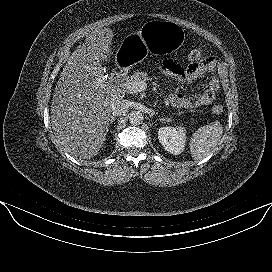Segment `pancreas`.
Wrapping results in <instances>:
<instances>
[{"label": "pancreas", "mask_w": 272, "mask_h": 272, "mask_svg": "<svg viewBox=\"0 0 272 272\" xmlns=\"http://www.w3.org/2000/svg\"><path fill=\"white\" fill-rule=\"evenodd\" d=\"M148 74L146 72H135L128 81L140 82L148 80Z\"/></svg>", "instance_id": "pancreas-1"}]
</instances>
